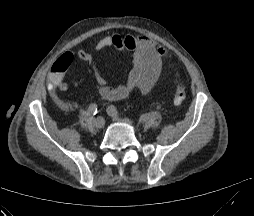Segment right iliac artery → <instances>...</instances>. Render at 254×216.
<instances>
[{
  "label": "right iliac artery",
  "mask_w": 254,
  "mask_h": 216,
  "mask_svg": "<svg viewBox=\"0 0 254 216\" xmlns=\"http://www.w3.org/2000/svg\"><path fill=\"white\" fill-rule=\"evenodd\" d=\"M88 111L90 114L95 115L97 114V104L93 103L89 106Z\"/></svg>",
  "instance_id": "right-iliac-artery-1"
}]
</instances>
